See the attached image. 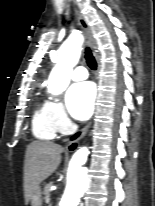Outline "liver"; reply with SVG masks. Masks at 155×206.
<instances>
[{
  "instance_id": "6515ba94",
  "label": "liver",
  "mask_w": 155,
  "mask_h": 206,
  "mask_svg": "<svg viewBox=\"0 0 155 206\" xmlns=\"http://www.w3.org/2000/svg\"><path fill=\"white\" fill-rule=\"evenodd\" d=\"M63 147L47 141L27 146L24 164V197L28 204L40 183L51 176L61 163Z\"/></svg>"
}]
</instances>
